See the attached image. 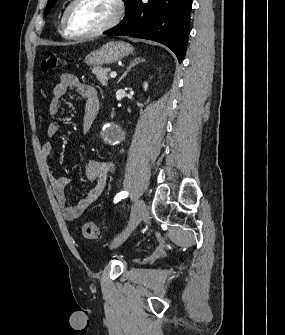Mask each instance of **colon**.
<instances>
[{
	"instance_id": "1",
	"label": "colon",
	"mask_w": 285,
	"mask_h": 335,
	"mask_svg": "<svg viewBox=\"0 0 285 335\" xmlns=\"http://www.w3.org/2000/svg\"><path fill=\"white\" fill-rule=\"evenodd\" d=\"M65 61L59 55L52 53L48 55L41 64V70L43 73L57 70L63 67ZM82 234L85 238L94 240L100 237L99 227L93 222H86L82 226Z\"/></svg>"
}]
</instances>
